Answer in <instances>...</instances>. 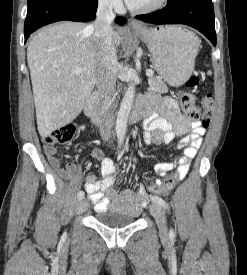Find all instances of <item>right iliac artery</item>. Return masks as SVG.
Returning <instances> with one entry per match:
<instances>
[{
    "mask_svg": "<svg viewBox=\"0 0 247 275\" xmlns=\"http://www.w3.org/2000/svg\"><path fill=\"white\" fill-rule=\"evenodd\" d=\"M77 198L78 199H83L84 198V192L83 191H79L77 194Z\"/></svg>",
    "mask_w": 247,
    "mask_h": 275,
    "instance_id": "obj_1",
    "label": "right iliac artery"
}]
</instances>
